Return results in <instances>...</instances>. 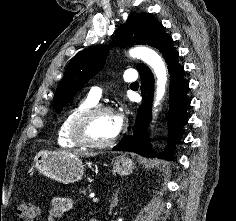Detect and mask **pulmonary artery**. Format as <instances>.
Returning a JSON list of instances; mask_svg holds the SVG:
<instances>
[{
  "mask_svg": "<svg viewBox=\"0 0 236 221\" xmlns=\"http://www.w3.org/2000/svg\"><path fill=\"white\" fill-rule=\"evenodd\" d=\"M137 76L133 70H127L123 74V80L127 83H131L136 81ZM102 95V89L100 87H93L89 92V97L94 101H99Z\"/></svg>",
  "mask_w": 236,
  "mask_h": 221,
  "instance_id": "1",
  "label": "pulmonary artery"
}]
</instances>
